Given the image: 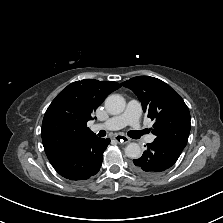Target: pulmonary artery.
Returning <instances> with one entry per match:
<instances>
[{
	"label": "pulmonary artery",
	"instance_id": "pulmonary-artery-1",
	"mask_svg": "<svg viewBox=\"0 0 223 223\" xmlns=\"http://www.w3.org/2000/svg\"><path fill=\"white\" fill-rule=\"evenodd\" d=\"M142 114L141 104L137 100H130L127 104L125 111L117 116H113L102 123H97L93 126L94 130L107 129L118 130L127 125L132 126L135 130L140 131V117ZM147 143L154 141L153 135H147L145 137Z\"/></svg>",
	"mask_w": 223,
	"mask_h": 223
}]
</instances>
